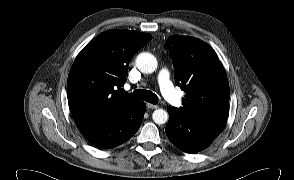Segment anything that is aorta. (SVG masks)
Returning <instances> with one entry per match:
<instances>
[{"label":"aorta","instance_id":"762f6f07","mask_svg":"<svg viewBox=\"0 0 294 180\" xmlns=\"http://www.w3.org/2000/svg\"><path fill=\"white\" fill-rule=\"evenodd\" d=\"M136 65L142 73L149 74L156 70L158 63L154 55L143 52L137 56ZM152 118L156 124H164L168 121V113L163 109H156L152 114Z\"/></svg>","mask_w":294,"mask_h":180}]
</instances>
